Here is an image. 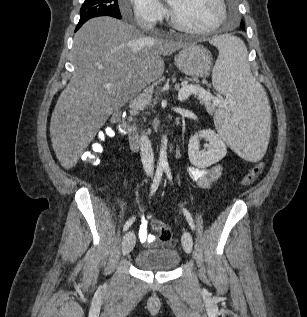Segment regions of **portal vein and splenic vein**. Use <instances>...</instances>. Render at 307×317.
Returning <instances> with one entry per match:
<instances>
[{"label": "portal vein and splenic vein", "mask_w": 307, "mask_h": 317, "mask_svg": "<svg viewBox=\"0 0 307 317\" xmlns=\"http://www.w3.org/2000/svg\"><path fill=\"white\" fill-rule=\"evenodd\" d=\"M113 87V83L107 82L104 84V88L109 90ZM195 94L198 97H200L203 100H212L214 103L217 105H222L224 104L223 101L219 100L218 98L214 97L210 92L195 86V85H188V84H183L181 89L178 92V99L180 101H183L187 99L190 95Z\"/></svg>", "instance_id": "1"}]
</instances>
